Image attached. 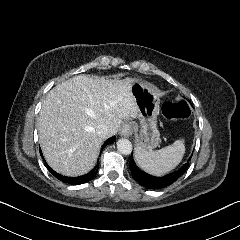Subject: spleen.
Returning <instances> with one entry per match:
<instances>
[{
	"label": "spleen",
	"instance_id": "3e777b00",
	"mask_svg": "<svg viewBox=\"0 0 240 240\" xmlns=\"http://www.w3.org/2000/svg\"><path fill=\"white\" fill-rule=\"evenodd\" d=\"M186 153V140L182 137L171 146L156 151H146L135 147L134 159L145 173L162 177L175 170L183 161Z\"/></svg>",
	"mask_w": 240,
	"mask_h": 240
}]
</instances>
